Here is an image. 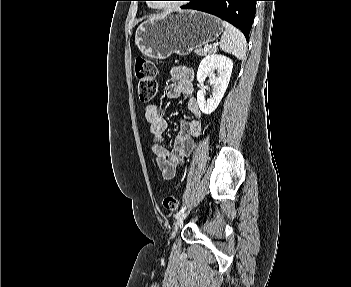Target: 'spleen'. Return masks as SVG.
I'll use <instances>...</instances> for the list:
<instances>
[{"instance_id": "1", "label": "spleen", "mask_w": 351, "mask_h": 287, "mask_svg": "<svg viewBox=\"0 0 351 287\" xmlns=\"http://www.w3.org/2000/svg\"><path fill=\"white\" fill-rule=\"evenodd\" d=\"M225 31L220 40V49L243 60L246 55V39L243 33L233 25L223 21Z\"/></svg>"}]
</instances>
